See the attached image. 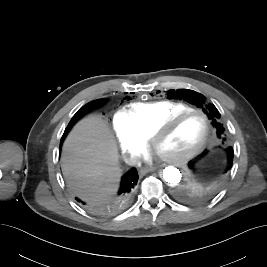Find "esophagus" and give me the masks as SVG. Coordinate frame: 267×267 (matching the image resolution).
Here are the masks:
<instances>
[{
  "mask_svg": "<svg viewBox=\"0 0 267 267\" xmlns=\"http://www.w3.org/2000/svg\"><path fill=\"white\" fill-rule=\"evenodd\" d=\"M155 167H146V168H142L140 169L139 173L141 176L145 175L148 172L154 171Z\"/></svg>",
  "mask_w": 267,
  "mask_h": 267,
  "instance_id": "1",
  "label": "esophagus"
}]
</instances>
